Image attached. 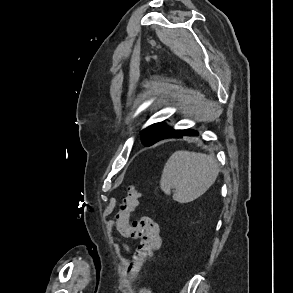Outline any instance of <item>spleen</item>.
Here are the masks:
<instances>
[{
    "instance_id": "3e777b00",
    "label": "spleen",
    "mask_w": 293,
    "mask_h": 293,
    "mask_svg": "<svg viewBox=\"0 0 293 293\" xmlns=\"http://www.w3.org/2000/svg\"><path fill=\"white\" fill-rule=\"evenodd\" d=\"M219 164L214 155L179 150L166 162L160 188L179 203L192 202L203 195L215 182Z\"/></svg>"
}]
</instances>
